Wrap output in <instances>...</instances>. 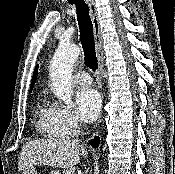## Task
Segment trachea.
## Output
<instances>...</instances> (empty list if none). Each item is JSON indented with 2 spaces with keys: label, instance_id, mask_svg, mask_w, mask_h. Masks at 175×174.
<instances>
[{
  "label": "trachea",
  "instance_id": "3493384b",
  "mask_svg": "<svg viewBox=\"0 0 175 174\" xmlns=\"http://www.w3.org/2000/svg\"><path fill=\"white\" fill-rule=\"evenodd\" d=\"M73 1L77 9V20L80 29V40L84 50L85 64L93 71L97 69V57L95 51L93 24L89 15V7L84 0Z\"/></svg>",
  "mask_w": 175,
  "mask_h": 174
}]
</instances>
